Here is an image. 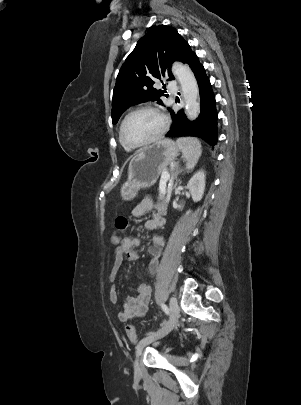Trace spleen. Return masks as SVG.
Returning <instances> with one entry per match:
<instances>
[{"label":"spleen","instance_id":"obj_1","mask_svg":"<svg viewBox=\"0 0 301 405\" xmlns=\"http://www.w3.org/2000/svg\"><path fill=\"white\" fill-rule=\"evenodd\" d=\"M176 142L187 162L186 169L192 170L201 156V143L198 139L191 137L178 138Z\"/></svg>","mask_w":301,"mask_h":405}]
</instances>
